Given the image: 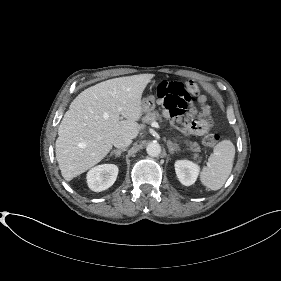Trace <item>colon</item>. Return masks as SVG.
<instances>
[{
	"label": "colon",
	"mask_w": 281,
	"mask_h": 281,
	"mask_svg": "<svg viewBox=\"0 0 281 281\" xmlns=\"http://www.w3.org/2000/svg\"><path fill=\"white\" fill-rule=\"evenodd\" d=\"M199 87L194 81H187L185 83L177 81H163L157 87L158 97L173 119L179 120L183 125L185 121L180 118L185 114L188 104L192 101L193 96L198 94ZM200 120L204 126L209 129L212 125L210 116L201 113ZM219 142V135L216 133H209L203 139V144L207 147H215Z\"/></svg>",
	"instance_id": "colon-1"
}]
</instances>
